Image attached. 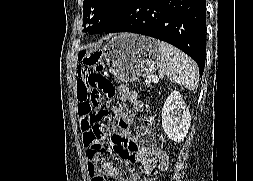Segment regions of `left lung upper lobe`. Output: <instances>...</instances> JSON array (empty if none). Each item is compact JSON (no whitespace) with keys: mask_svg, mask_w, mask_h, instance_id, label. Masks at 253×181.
Returning a JSON list of instances; mask_svg holds the SVG:
<instances>
[{"mask_svg":"<svg viewBox=\"0 0 253 181\" xmlns=\"http://www.w3.org/2000/svg\"><path fill=\"white\" fill-rule=\"evenodd\" d=\"M133 0H84L83 25L85 32H105L125 14Z\"/></svg>","mask_w":253,"mask_h":181,"instance_id":"1","label":"left lung upper lobe"}]
</instances>
